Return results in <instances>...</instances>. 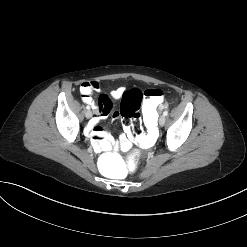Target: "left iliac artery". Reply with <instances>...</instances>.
<instances>
[{
	"label": "left iliac artery",
	"instance_id": "1",
	"mask_svg": "<svg viewBox=\"0 0 247 247\" xmlns=\"http://www.w3.org/2000/svg\"><path fill=\"white\" fill-rule=\"evenodd\" d=\"M163 115H164V116H167V115H168V111H164V112H163Z\"/></svg>",
	"mask_w": 247,
	"mask_h": 247
}]
</instances>
